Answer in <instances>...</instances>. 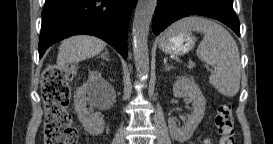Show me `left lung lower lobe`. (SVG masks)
<instances>
[{"label": "left lung lower lobe", "instance_id": "left-lung-lower-lobe-1", "mask_svg": "<svg viewBox=\"0 0 273 144\" xmlns=\"http://www.w3.org/2000/svg\"><path fill=\"white\" fill-rule=\"evenodd\" d=\"M189 15L217 19L240 36V25L233 11V0H157L152 30L158 35L174 21Z\"/></svg>", "mask_w": 273, "mask_h": 144}]
</instances>
